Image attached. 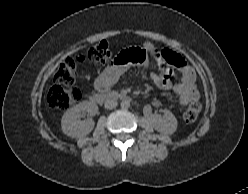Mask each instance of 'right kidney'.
<instances>
[{"mask_svg":"<svg viewBox=\"0 0 248 194\" xmlns=\"http://www.w3.org/2000/svg\"><path fill=\"white\" fill-rule=\"evenodd\" d=\"M87 112L90 116L98 114V106L94 103L84 101L65 112L61 120V127L64 134L72 138H79L89 134L94 128L92 118L80 120L81 113Z\"/></svg>","mask_w":248,"mask_h":194,"instance_id":"1","label":"right kidney"}]
</instances>
